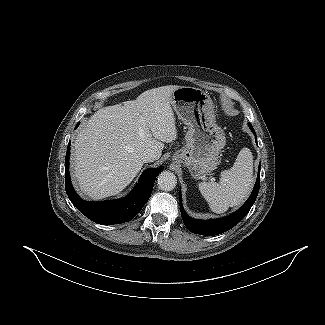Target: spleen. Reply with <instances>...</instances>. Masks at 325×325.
Masks as SVG:
<instances>
[{
	"label": "spleen",
	"mask_w": 325,
	"mask_h": 325,
	"mask_svg": "<svg viewBox=\"0 0 325 325\" xmlns=\"http://www.w3.org/2000/svg\"><path fill=\"white\" fill-rule=\"evenodd\" d=\"M253 155L243 148L234 165L221 172L220 182H201L199 190L214 212L237 206L249 195L253 186Z\"/></svg>",
	"instance_id": "obj_1"
}]
</instances>
